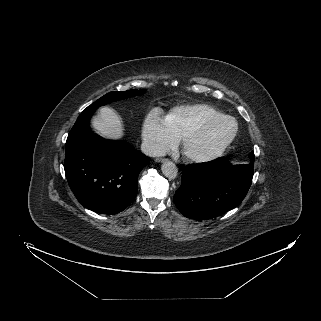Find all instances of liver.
<instances>
[{
    "label": "liver",
    "mask_w": 321,
    "mask_h": 321,
    "mask_svg": "<svg viewBox=\"0 0 321 321\" xmlns=\"http://www.w3.org/2000/svg\"><path fill=\"white\" fill-rule=\"evenodd\" d=\"M93 127L104 137L117 140L123 137V124L113 109L100 108L99 116L92 120Z\"/></svg>",
    "instance_id": "obj_1"
}]
</instances>
